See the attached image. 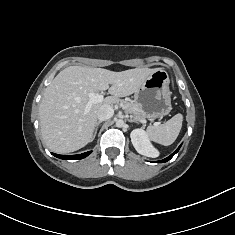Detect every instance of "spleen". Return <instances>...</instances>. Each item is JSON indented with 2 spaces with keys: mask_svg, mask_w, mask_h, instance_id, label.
I'll return each instance as SVG.
<instances>
[{
  "mask_svg": "<svg viewBox=\"0 0 235 235\" xmlns=\"http://www.w3.org/2000/svg\"><path fill=\"white\" fill-rule=\"evenodd\" d=\"M182 120V115L176 114L170 120L159 126H149L146 133L156 143L164 146L171 145L179 135Z\"/></svg>",
  "mask_w": 235,
  "mask_h": 235,
  "instance_id": "3e777b00",
  "label": "spleen"
}]
</instances>
